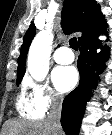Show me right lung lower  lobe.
I'll list each match as a JSON object with an SVG mask.
<instances>
[{"instance_id": "right-lung-lower-lobe-1", "label": "right lung lower lobe", "mask_w": 112, "mask_h": 135, "mask_svg": "<svg viewBox=\"0 0 112 135\" xmlns=\"http://www.w3.org/2000/svg\"><path fill=\"white\" fill-rule=\"evenodd\" d=\"M98 36L79 43L77 66L80 83L65 97L62 105L61 125L66 135H78L86 102L90 99L92 88L97 86L98 75L104 70L103 62L109 57V48L101 45ZM98 48L102 49L100 53H96Z\"/></svg>"}]
</instances>
